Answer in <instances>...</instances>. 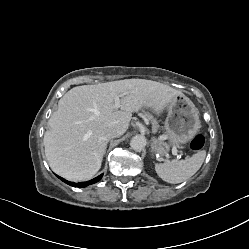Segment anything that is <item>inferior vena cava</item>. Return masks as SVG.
Listing matches in <instances>:
<instances>
[{
    "label": "inferior vena cava",
    "mask_w": 249,
    "mask_h": 249,
    "mask_svg": "<svg viewBox=\"0 0 249 249\" xmlns=\"http://www.w3.org/2000/svg\"><path fill=\"white\" fill-rule=\"evenodd\" d=\"M118 136H119V132L111 127L105 128L101 134V138L103 140H110V139L118 137Z\"/></svg>",
    "instance_id": "602c4592"
}]
</instances>
